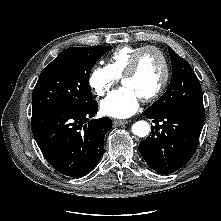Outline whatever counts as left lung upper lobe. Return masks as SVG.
<instances>
[{
  "mask_svg": "<svg viewBox=\"0 0 221 221\" xmlns=\"http://www.w3.org/2000/svg\"><path fill=\"white\" fill-rule=\"evenodd\" d=\"M172 77L165 94L146 110L151 113L179 109H203L202 88L190 64L170 47Z\"/></svg>",
  "mask_w": 221,
  "mask_h": 221,
  "instance_id": "obj_1",
  "label": "left lung upper lobe"
}]
</instances>
